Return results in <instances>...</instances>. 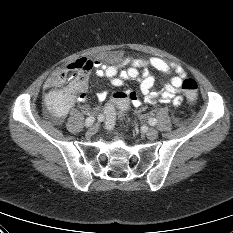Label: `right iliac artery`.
Instances as JSON below:
<instances>
[{
    "mask_svg": "<svg viewBox=\"0 0 233 233\" xmlns=\"http://www.w3.org/2000/svg\"><path fill=\"white\" fill-rule=\"evenodd\" d=\"M94 121H95L94 117L90 116V117H88V118L86 119L85 125H86L87 127H89V126H91V125L94 123Z\"/></svg>",
    "mask_w": 233,
    "mask_h": 233,
    "instance_id": "1",
    "label": "right iliac artery"
}]
</instances>
